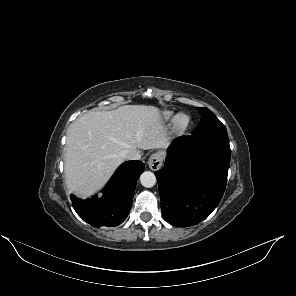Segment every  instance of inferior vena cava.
<instances>
[{
  "mask_svg": "<svg viewBox=\"0 0 296 296\" xmlns=\"http://www.w3.org/2000/svg\"><path fill=\"white\" fill-rule=\"evenodd\" d=\"M121 155L126 160H139L141 158L140 153L136 150H124Z\"/></svg>",
  "mask_w": 296,
  "mask_h": 296,
  "instance_id": "1",
  "label": "inferior vena cava"
}]
</instances>
